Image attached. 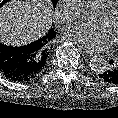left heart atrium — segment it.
<instances>
[{"label": "left heart atrium", "instance_id": "left-heart-atrium-1", "mask_svg": "<svg viewBox=\"0 0 118 118\" xmlns=\"http://www.w3.org/2000/svg\"><path fill=\"white\" fill-rule=\"evenodd\" d=\"M64 37L89 51H103L112 46L113 40L105 26L78 22L64 29Z\"/></svg>", "mask_w": 118, "mask_h": 118}]
</instances>
